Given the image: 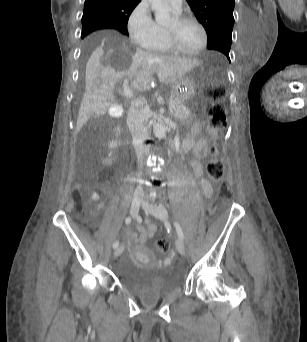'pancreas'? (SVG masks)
Here are the masks:
<instances>
[{"label":"pancreas","mask_w":307,"mask_h":342,"mask_svg":"<svg viewBox=\"0 0 307 342\" xmlns=\"http://www.w3.org/2000/svg\"><path fill=\"white\" fill-rule=\"evenodd\" d=\"M170 102L178 106V108L171 114L173 118H183V117H187L188 115L189 116L193 115V112H192L193 109L191 107L186 108L185 106H180V104H178L180 102L179 94H171Z\"/></svg>","instance_id":"pancreas-1"}]
</instances>
